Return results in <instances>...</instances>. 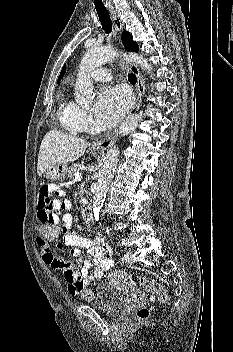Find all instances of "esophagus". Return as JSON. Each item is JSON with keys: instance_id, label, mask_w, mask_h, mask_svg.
Segmentation results:
<instances>
[{"instance_id": "esophagus-1", "label": "esophagus", "mask_w": 233, "mask_h": 352, "mask_svg": "<svg viewBox=\"0 0 233 352\" xmlns=\"http://www.w3.org/2000/svg\"><path fill=\"white\" fill-rule=\"evenodd\" d=\"M111 18L113 20L114 23V29H115V35L116 38L119 40L120 42V37H121V33L124 29V24L120 18V16L117 14V12L114 9H109ZM127 67L135 74L136 78H137V86H136V103L135 105L131 108L129 114H133L134 112H136L141 103H142V99L144 97L145 94V80L143 78V75L140 71V69L133 63H126ZM117 139V131H115L114 133H111L110 135L106 136L104 139H101L99 141L93 142L92 143V148H96V149H102V150H107L109 147H111L114 142Z\"/></svg>"}]
</instances>
